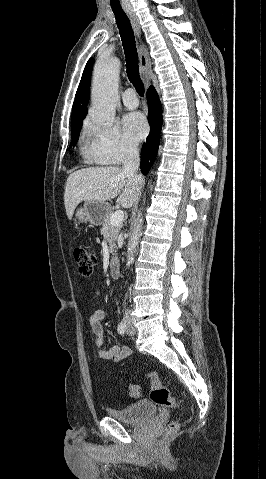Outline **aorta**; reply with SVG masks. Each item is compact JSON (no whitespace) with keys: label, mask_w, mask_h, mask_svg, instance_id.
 <instances>
[{"label":"aorta","mask_w":266,"mask_h":479,"mask_svg":"<svg viewBox=\"0 0 266 479\" xmlns=\"http://www.w3.org/2000/svg\"><path fill=\"white\" fill-rule=\"evenodd\" d=\"M120 61L115 58L100 59L94 70L92 83V106L89 115L92 121L103 127L112 126L118 103V78ZM141 226L132 230L127 247V266L133 263L140 237Z\"/></svg>","instance_id":"762f6f07"}]
</instances>
